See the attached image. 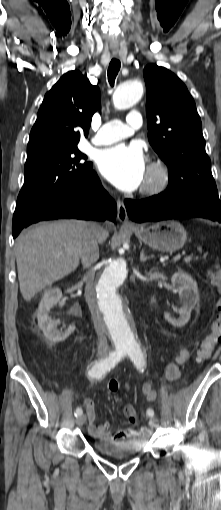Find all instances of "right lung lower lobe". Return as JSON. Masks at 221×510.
<instances>
[{
  "mask_svg": "<svg viewBox=\"0 0 221 510\" xmlns=\"http://www.w3.org/2000/svg\"><path fill=\"white\" fill-rule=\"evenodd\" d=\"M117 206L103 189L95 171L76 186L64 191L36 207L25 219L13 216V237L32 223L60 218L109 219L115 221Z\"/></svg>",
  "mask_w": 221,
  "mask_h": 510,
  "instance_id": "obj_1",
  "label": "right lung lower lobe"
}]
</instances>
